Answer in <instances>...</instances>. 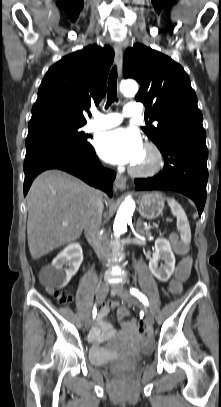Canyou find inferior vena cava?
Masks as SVG:
<instances>
[{"instance_id": "602c4592", "label": "inferior vena cava", "mask_w": 221, "mask_h": 407, "mask_svg": "<svg viewBox=\"0 0 221 407\" xmlns=\"http://www.w3.org/2000/svg\"><path fill=\"white\" fill-rule=\"evenodd\" d=\"M103 212L102 196L98 191L94 193L92 206L84 227V233L90 244L93 246L99 259L103 262L108 255V248L100 234V225Z\"/></svg>"}]
</instances>
